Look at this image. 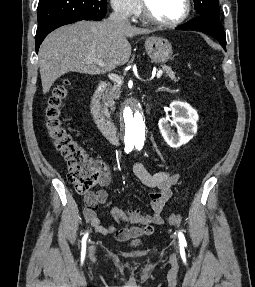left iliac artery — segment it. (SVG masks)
Masks as SVG:
<instances>
[{"label": "left iliac artery", "instance_id": "1", "mask_svg": "<svg viewBox=\"0 0 255 287\" xmlns=\"http://www.w3.org/2000/svg\"><path fill=\"white\" fill-rule=\"evenodd\" d=\"M140 149L141 148H138V150H140ZM178 237H179V244H180V246H186V240H185V237H184L182 232L178 233Z\"/></svg>", "mask_w": 255, "mask_h": 287}]
</instances>
